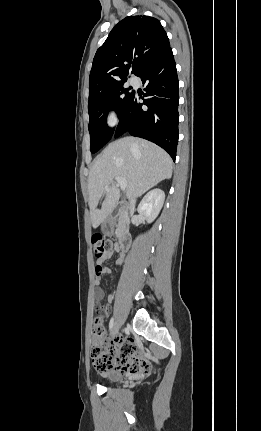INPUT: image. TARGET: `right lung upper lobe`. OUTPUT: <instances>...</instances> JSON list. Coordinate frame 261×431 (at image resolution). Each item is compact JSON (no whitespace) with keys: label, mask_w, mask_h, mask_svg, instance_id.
<instances>
[{"label":"right lung upper lobe","mask_w":261,"mask_h":431,"mask_svg":"<svg viewBox=\"0 0 261 431\" xmlns=\"http://www.w3.org/2000/svg\"><path fill=\"white\" fill-rule=\"evenodd\" d=\"M170 47L160 21L140 15L120 21L97 50L89 77V94L127 79Z\"/></svg>","instance_id":"right-lung-upper-lobe-1"}]
</instances>
